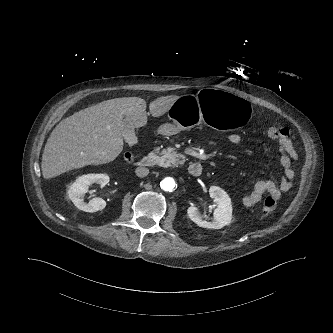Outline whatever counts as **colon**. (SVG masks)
<instances>
[{
    "mask_svg": "<svg viewBox=\"0 0 333 333\" xmlns=\"http://www.w3.org/2000/svg\"><path fill=\"white\" fill-rule=\"evenodd\" d=\"M282 134L281 129L277 128V127H269L267 129V136L269 139L271 140H278L280 138ZM136 159L135 155L127 153L125 155V160L127 162H134V160ZM276 209V200L275 198L269 196L267 197L262 205V213L264 215H269L272 212H274Z\"/></svg>",
    "mask_w": 333,
    "mask_h": 333,
    "instance_id": "1",
    "label": "colon"
}]
</instances>
